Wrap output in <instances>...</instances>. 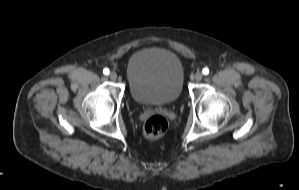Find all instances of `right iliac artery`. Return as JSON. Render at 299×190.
Masks as SVG:
<instances>
[{
	"instance_id": "right-iliac-artery-1",
	"label": "right iliac artery",
	"mask_w": 299,
	"mask_h": 190,
	"mask_svg": "<svg viewBox=\"0 0 299 190\" xmlns=\"http://www.w3.org/2000/svg\"><path fill=\"white\" fill-rule=\"evenodd\" d=\"M109 69L108 68H105V69H103V73L105 74V75H108L109 74Z\"/></svg>"
}]
</instances>
